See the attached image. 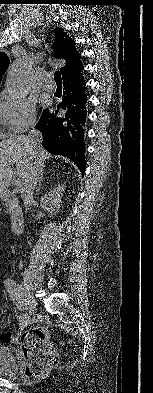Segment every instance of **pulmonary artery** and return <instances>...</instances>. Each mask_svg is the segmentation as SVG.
I'll use <instances>...</instances> for the list:
<instances>
[{
	"label": "pulmonary artery",
	"mask_w": 153,
	"mask_h": 393,
	"mask_svg": "<svg viewBox=\"0 0 153 393\" xmlns=\"http://www.w3.org/2000/svg\"><path fill=\"white\" fill-rule=\"evenodd\" d=\"M42 83H43L44 88H53V84H52L50 75L44 77L42 79Z\"/></svg>",
	"instance_id": "pulmonary-artery-1"
}]
</instances>
